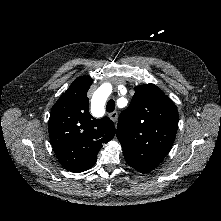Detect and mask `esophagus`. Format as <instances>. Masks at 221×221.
I'll return each mask as SVG.
<instances>
[{"label": "esophagus", "mask_w": 221, "mask_h": 221, "mask_svg": "<svg viewBox=\"0 0 221 221\" xmlns=\"http://www.w3.org/2000/svg\"><path fill=\"white\" fill-rule=\"evenodd\" d=\"M109 118L113 121L116 122L118 118V113L116 111H113L109 114Z\"/></svg>", "instance_id": "obj_1"}]
</instances>
